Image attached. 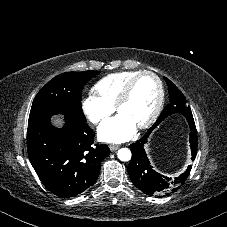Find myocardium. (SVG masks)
Here are the masks:
<instances>
[{
	"label": "myocardium",
	"instance_id": "f54148a6",
	"mask_svg": "<svg viewBox=\"0 0 227 227\" xmlns=\"http://www.w3.org/2000/svg\"><path fill=\"white\" fill-rule=\"evenodd\" d=\"M144 75L151 76L156 81L157 86H158V98H157V102H156V105H155V108H154L152 114L145 122H143L137 126L138 129H145V128L150 127L157 120V118L161 112L162 106H163L164 87H163L162 80L156 73L149 71V70H143V71H139L138 73H136L127 82L126 86L124 87L123 91L121 92V94L118 97V99L115 103V106H114L115 110L118 111L119 108L121 107V105H123L130 99L137 80Z\"/></svg>",
	"mask_w": 227,
	"mask_h": 227
}]
</instances>
